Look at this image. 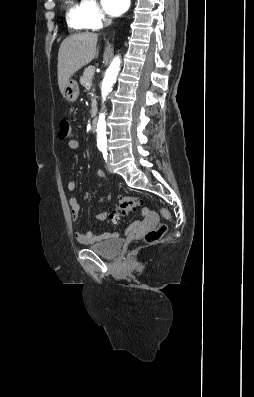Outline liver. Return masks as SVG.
<instances>
[{
    "label": "liver",
    "mask_w": 254,
    "mask_h": 397,
    "mask_svg": "<svg viewBox=\"0 0 254 397\" xmlns=\"http://www.w3.org/2000/svg\"><path fill=\"white\" fill-rule=\"evenodd\" d=\"M98 35L80 33L67 37L58 52V85L63 94L69 79L98 56Z\"/></svg>",
    "instance_id": "6515ba94"
}]
</instances>
